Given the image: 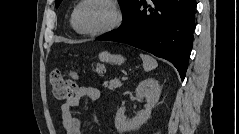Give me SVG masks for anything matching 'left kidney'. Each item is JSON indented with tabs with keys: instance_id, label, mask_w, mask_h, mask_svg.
<instances>
[{
	"instance_id": "1",
	"label": "left kidney",
	"mask_w": 239,
	"mask_h": 134,
	"mask_svg": "<svg viewBox=\"0 0 239 134\" xmlns=\"http://www.w3.org/2000/svg\"><path fill=\"white\" fill-rule=\"evenodd\" d=\"M135 93L137 97L141 99L145 98V110L137 113L133 118H127L125 116V107L122 106L119 108L115 117V127L121 134L138 129L150 118L152 108L157 104L160 98L161 87L154 78H147L140 82Z\"/></svg>"
}]
</instances>
